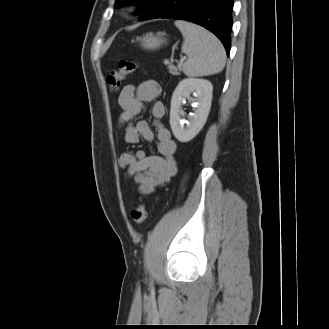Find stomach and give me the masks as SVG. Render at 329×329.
Wrapping results in <instances>:
<instances>
[{
	"mask_svg": "<svg viewBox=\"0 0 329 329\" xmlns=\"http://www.w3.org/2000/svg\"><path fill=\"white\" fill-rule=\"evenodd\" d=\"M165 33H158L154 35L153 33L147 34L144 37L138 38L141 46L147 50H155L160 48L166 43Z\"/></svg>",
	"mask_w": 329,
	"mask_h": 329,
	"instance_id": "stomach-1",
	"label": "stomach"
}]
</instances>
